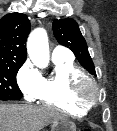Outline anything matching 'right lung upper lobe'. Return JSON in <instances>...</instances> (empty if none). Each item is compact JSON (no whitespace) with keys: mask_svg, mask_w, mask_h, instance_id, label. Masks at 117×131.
<instances>
[{"mask_svg":"<svg viewBox=\"0 0 117 131\" xmlns=\"http://www.w3.org/2000/svg\"><path fill=\"white\" fill-rule=\"evenodd\" d=\"M30 21L21 13H10L0 20V64H23Z\"/></svg>","mask_w":117,"mask_h":131,"instance_id":"right-lung-upper-lobe-1","label":"right lung upper lobe"}]
</instances>
